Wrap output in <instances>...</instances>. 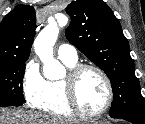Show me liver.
Listing matches in <instances>:
<instances>
[{
  "mask_svg": "<svg viewBox=\"0 0 145 124\" xmlns=\"http://www.w3.org/2000/svg\"><path fill=\"white\" fill-rule=\"evenodd\" d=\"M0 124H80V121L21 109H0Z\"/></svg>",
  "mask_w": 145,
  "mask_h": 124,
  "instance_id": "6515ba94",
  "label": "liver"
}]
</instances>
